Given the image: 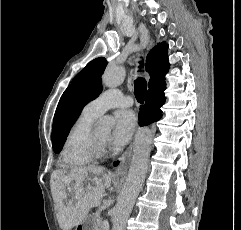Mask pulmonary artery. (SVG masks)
Wrapping results in <instances>:
<instances>
[{
  "mask_svg": "<svg viewBox=\"0 0 241 230\" xmlns=\"http://www.w3.org/2000/svg\"><path fill=\"white\" fill-rule=\"evenodd\" d=\"M133 103L130 96H125L118 89H108L102 92L95 99L91 100L84 110L96 117L102 115L105 111L115 107H129Z\"/></svg>",
  "mask_w": 241,
  "mask_h": 230,
  "instance_id": "e3ab8cb5",
  "label": "pulmonary artery"
}]
</instances>
